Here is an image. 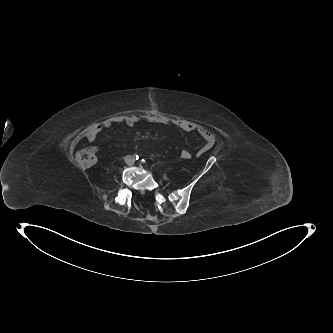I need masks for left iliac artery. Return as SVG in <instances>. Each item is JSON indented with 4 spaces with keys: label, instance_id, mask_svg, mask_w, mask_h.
Segmentation results:
<instances>
[{
    "label": "left iliac artery",
    "instance_id": "44dca946",
    "mask_svg": "<svg viewBox=\"0 0 333 333\" xmlns=\"http://www.w3.org/2000/svg\"><path fill=\"white\" fill-rule=\"evenodd\" d=\"M142 162H144V163H145V160H144V159H142Z\"/></svg>",
    "mask_w": 333,
    "mask_h": 333
}]
</instances>
